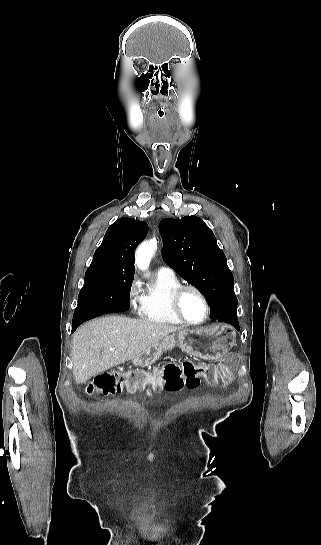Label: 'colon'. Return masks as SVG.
Returning <instances> with one entry per match:
<instances>
[{
    "label": "colon",
    "mask_w": 321,
    "mask_h": 545,
    "mask_svg": "<svg viewBox=\"0 0 321 545\" xmlns=\"http://www.w3.org/2000/svg\"><path fill=\"white\" fill-rule=\"evenodd\" d=\"M234 355L228 356L218 365L197 364L191 360L180 363L169 362L157 373L149 374L142 370L126 373L111 371L98 374L87 386L88 394L111 396L124 389L136 391L150 385L154 390L178 391L184 387L197 388L201 380L217 385L232 381L237 365Z\"/></svg>",
    "instance_id": "1"
}]
</instances>
